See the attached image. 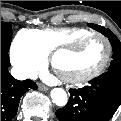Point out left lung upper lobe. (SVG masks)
<instances>
[{"instance_id":"obj_1","label":"left lung upper lobe","mask_w":121,"mask_h":121,"mask_svg":"<svg viewBox=\"0 0 121 121\" xmlns=\"http://www.w3.org/2000/svg\"><path fill=\"white\" fill-rule=\"evenodd\" d=\"M89 26L108 37L114 51L109 71L121 73V43L118 38L109 29H105L102 26L96 24H89Z\"/></svg>"}]
</instances>
